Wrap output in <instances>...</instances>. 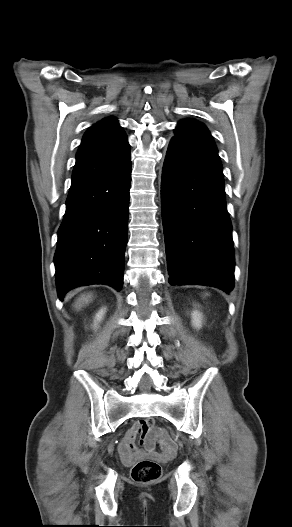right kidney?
<instances>
[{
  "label": "right kidney",
  "mask_w": 292,
  "mask_h": 527,
  "mask_svg": "<svg viewBox=\"0 0 292 527\" xmlns=\"http://www.w3.org/2000/svg\"><path fill=\"white\" fill-rule=\"evenodd\" d=\"M105 313V309H101L97 314H96V317H95V326H96V322L100 321L103 317Z\"/></svg>",
  "instance_id": "obj_1"
}]
</instances>
